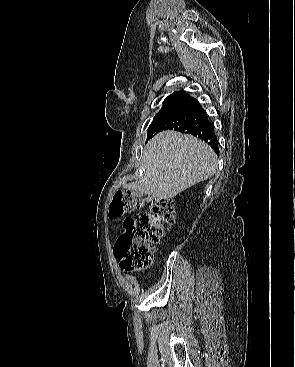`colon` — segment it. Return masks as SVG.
Listing matches in <instances>:
<instances>
[{"mask_svg":"<svg viewBox=\"0 0 295 367\" xmlns=\"http://www.w3.org/2000/svg\"><path fill=\"white\" fill-rule=\"evenodd\" d=\"M147 201V198L131 192L118 191L110 206V216L117 218L133 212L142 208ZM175 218L174 203L165 199H152L148 211L127 218L123 224L124 231L117 238L114 248L121 268L130 271L150 266L155 247Z\"/></svg>","mask_w":295,"mask_h":367,"instance_id":"1","label":"colon"}]
</instances>
